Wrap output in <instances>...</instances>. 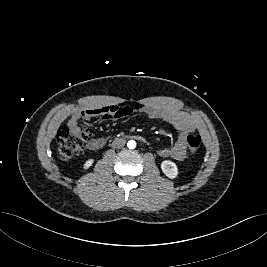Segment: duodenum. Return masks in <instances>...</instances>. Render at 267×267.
Returning a JSON list of instances; mask_svg holds the SVG:
<instances>
[{"label":"duodenum","instance_id":"duodenum-1","mask_svg":"<svg viewBox=\"0 0 267 267\" xmlns=\"http://www.w3.org/2000/svg\"><path fill=\"white\" fill-rule=\"evenodd\" d=\"M135 138H137L139 140H144V138L142 136H139V135L135 136Z\"/></svg>","mask_w":267,"mask_h":267}]
</instances>
